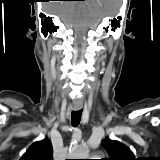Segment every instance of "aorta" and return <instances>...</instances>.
Listing matches in <instances>:
<instances>
[{
  "label": "aorta",
  "instance_id": "1",
  "mask_svg": "<svg viewBox=\"0 0 160 160\" xmlns=\"http://www.w3.org/2000/svg\"><path fill=\"white\" fill-rule=\"evenodd\" d=\"M89 149L83 145H74L69 152V159H88Z\"/></svg>",
  "mask_w": 160,
  "mask_h": 160
}]
</instances>
